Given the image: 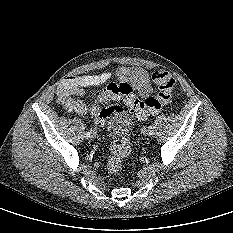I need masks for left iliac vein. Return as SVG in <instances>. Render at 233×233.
Returning a JSON list of instances; mask_svg holds the SVG:
<instances>
[{
  "instance_id": "1",
  "label": "left iliac vein",
  "mask_w": 233,
  "mask_h": 233,
  "mask_svg": "<svg viewBox=\"0 0 233 233\" xmlns=\"http://www.w3.org/2000/svg\"><path fill=\"white\" fill-rule=\"evenodd\" d=\"M141 134L142 135H149L148 129L147 128H142L141 129Z\"/></svg>"
}]
</instances>
